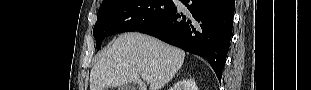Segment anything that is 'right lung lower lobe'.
<instances>
[{
    "mask_svg": "<svg viewBox=\"0 0 311 90\" xmlns=\"http://www.w3.org/2000/svg\"><path fill=\"white\" fill-rule=\"evenodd\" d=\"M187 11L174 7L165 17L138 32L205 58L219 81L232 34L235 0H181Z\"/></svg>",
    "mask_w": 311,
    "mask_h": 90,
    "instance_id": "1",
    "label": "right lung lower lobe"
}]
</instances>
